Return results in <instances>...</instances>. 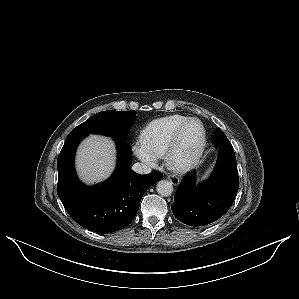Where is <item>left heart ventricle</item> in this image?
<instances>
[{
  "label": "left heart ventricle",
  "mask_w": 299,
  "mask_h": 299,
  "mask_svg": "<svg viewBox=\"0 0 299 299\" xmlns=\"http://www.w3.org/2000/svg\"><path fill=\"white\" fill-rule=\"evenodd\" d=\"M202 130L198 123L189 124L182 132L176 150L178 160L191 156L197 150L201 140Z\"/></svg>",
  "instance_id": "left-heart-ventricle-1"
}]
</instances>
